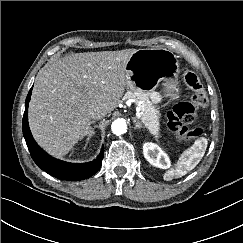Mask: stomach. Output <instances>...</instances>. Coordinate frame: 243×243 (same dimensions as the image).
Returning <instances> with one entry per match:
<instances>
[{
    "mask_svg": "<svg viewBox=\"0 0 243 243\" xmlns=\"http://www.w3.org/2000/svg\"><path fill=\"white\" fill-rule=\"evenodd\" d=\"M126 71L127 87L132 91L150 92L165 81V96L178 97V61L172 51L165 48L139 49L128 60Z\"/></svg>",
    "mask_w": 243,
    "mask_h": 243,
    "instance_id": "stomach-1",
    "label": "stomach"
}]
</instances>
